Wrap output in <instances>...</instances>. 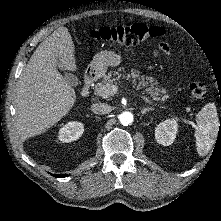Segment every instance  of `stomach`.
<instances>
[{
    "mask_svg": "<svg viewBox=\"0 0 221 221\" xmlns=\"http://www.w3.org/2000/svg\"><path fill=\"white\" fill-rule=\"evenodd\" d=\"M120 62V55L112 51H102L94 56L88 66V72L96 77H101L106 73L109 66H117Z\"/></svg>",
    "mask_w": 221,
    "mask_h": 221,
    "instance_id": "obj_1",
    "label": "stomach"
}]
</instances>
